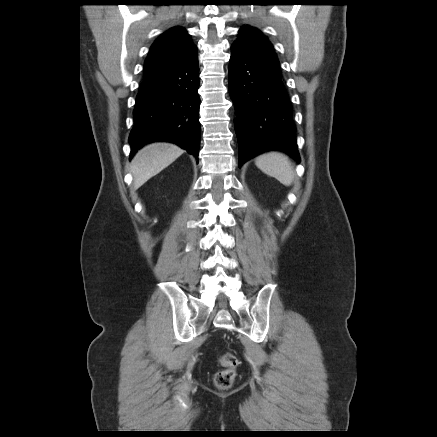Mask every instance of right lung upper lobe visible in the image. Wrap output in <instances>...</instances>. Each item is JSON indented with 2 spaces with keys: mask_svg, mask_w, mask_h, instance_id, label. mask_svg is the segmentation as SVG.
<instances>
[{
  "mask_svg": "<svg viewBox=\"0 0 437 437\" xmlns=\"http://www.w3.org/2000/svg\"><path fill=\"white\" fill-rule=\"evenodd\" d=\"M189 34L182 27L164 32L151 46L145 61L144 78L189 60L197 54Z\"/></svg>",
  "mask_w": 437,
  "mask_h": 437,
  "instance_id": "1",
  "label": "right lung upper lobe"
}]
</instances>
